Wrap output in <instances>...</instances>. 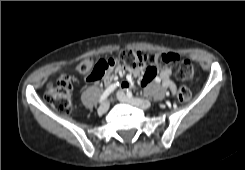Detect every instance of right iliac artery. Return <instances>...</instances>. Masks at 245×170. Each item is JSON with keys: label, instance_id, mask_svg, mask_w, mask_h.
I'll use <instances>...</instances> for the list:
<instances>
[{"label": "right iliac artery", "instance_id": "82829eb1", "mask_svg": "<svg viewBox=\"0 0 245 170\" xmlns=\"http://www.w3.org/2000/svg\"><path fill=\"white\" fill-rule=\"evenodd\" d=\"M117 86H119V83H118V82H116V83L110 85V86L103 92V94L101 95L99 102L101 103V102H103L104 100H106L107 97L114 91V89H115Z\"/></svg>", "mask_w": 245, "mask_h": 170}]
</instances>
